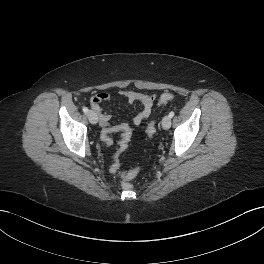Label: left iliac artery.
Wrapping results in <instances>:
<instances>
[{
	"instance_id": "44dca946",
	"label": "left iliac artery",
	"mask_w": 264,
	"mask_h": 264,
	"mask_svg": "<svg viewBox=\"0 0 264 264\" xmlns=\"http://www.w3.org/2000/svg\"><path fill=\"white\" fill-rule=\"evenodd\" d=\"M173 116H174V112L171 111V112L169 113V117L172 118Z\"/></svg>"
}]
</instances>
